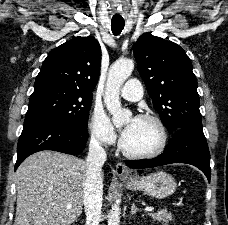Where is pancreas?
Here are the masks:
<instances>
[{"label":"pancreas","mask_w":228,"mask_h":225,"mask_svg":"<svg viewBox=\"0 0 228 225\" xmlns=\"http://www.w3.org/2000/svg\"><path fill=\"white\" fill-rule=\"evenodd\" d=\"M154 221H159V223H163V225H169V221H173V215L167 209H161V211H157V213H152L150 215Z\"/></svg>","instance_id":"pancreas-1"}]
</instances>
